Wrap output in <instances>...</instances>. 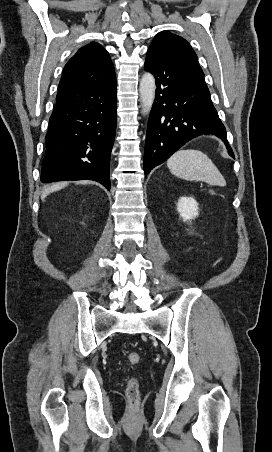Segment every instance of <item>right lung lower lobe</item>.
Returning <instances> with one entry per match:
<instances>
[{
    "label": "right lung lower lobe",
    "mask_w": 272,
    "mask_h": 452,
    "mask_svg": "<svg viewBox=\"0 0 272 452\" xmlns=\"http://www.w3.org/2000/svg\"><path fill=\"white\" fill-rule=\"evenodd\" d=\"M116 78L57 102L45 138L41 181L94 180L110 190Z\"/></svg>",
    "instance_id": "1"
}]
</instances>
